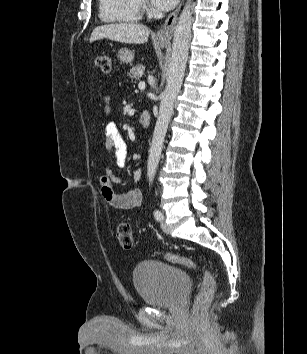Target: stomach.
<instances>
[{
	"label": "stomach",
	"mask_w": 307,
	"mask_h": 354,
	"mask_svg": "<svg viewBox=\"0 0 307 354\" xmlns=\"http://www.w3.org/2000/svg\"><path fill=\"white\" fill-rule=\"evenodd\" d=\"M155 44L158 47L163 48L168 45V40L167 39H156ZM117 57L121 63L129 64L133 61L134 53L127 48H122L118 51Z\"/></svg>",
	"instance_id": "obj_1"
}]
</instances>
